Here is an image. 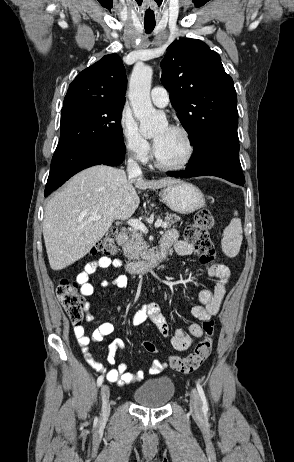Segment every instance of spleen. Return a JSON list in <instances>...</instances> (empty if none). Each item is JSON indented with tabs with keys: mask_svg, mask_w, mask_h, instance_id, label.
<instances>
[{
	"mask_svg": "<svg viewBox=\"0 0 294 462\" xmlns=\"http://www.w3.org/2000/svg\"><path fill=\"white\" fill-rule=\"evenodd\" d=\"M237 216V212L234 213ZM242 224L239 218L231 220L230 224L225 228L222 239V250L228 257H235L242 244Z\"/></svg>",
	"mask_w": 294,
	"mask_h": 462,
	"instance_id": "obj_1",
	"label": "spleen"
}]
</instances>
